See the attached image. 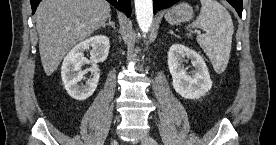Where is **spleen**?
I'll return each mask as SVG.
<instances>
[{"mask_svg": "<svg viewBox=\"0 0 276 145\" xmlns=\"http://www.w3.org/2000/svg\"><path fill=\"white\" fill-rule=\"evenodd\" d=\"M201 10L192 27L206 31L197 42L210 59L216 73L225 71L232 45L233 22L229 12L215 0H201ZM191 36V33H188Z\"/></svg>", "mask_w": 276, "mask_h": 145, "instance_id": "3e777b00", "label": "spleen"}]
</instances>
